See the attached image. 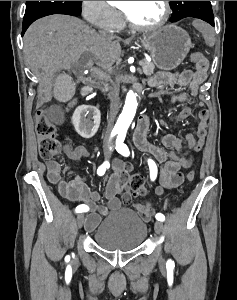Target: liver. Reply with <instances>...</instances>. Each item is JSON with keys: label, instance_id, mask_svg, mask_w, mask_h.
Returning <instances> with one entry per match:
<instances>
[{"label": "liver", "instance_id": "1", "mask_svg": "<svg viewBox=\"0 0 237 300\" xmlns=\"http://www.w3.org/2000/svg\"><path fill=\"white\" fill-rule=\"evenodd\" d=\"M23 39L24 53L32 71H42L38 93L45 87V95L51 93L53 73L62 69L70 71L85 53L103 69H112V65L120 61L121 39L100 37L84 21L69 15L38 19L27 29Z\"/></svg>", "mask_w": 237, "mask_h": 300}]
</instances>
